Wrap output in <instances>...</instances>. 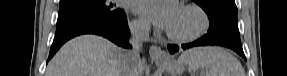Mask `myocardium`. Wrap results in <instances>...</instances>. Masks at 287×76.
Segmentation results:
<instances>
[{
    "label": "myocardium",
    "instance_id": "obj_1",
    "mask_svg": "<svg viewBox=\"0 0 287 76\" xmlns=\"http://www.w3.org/2000/svg\"><path fill=\"white\" fill-rule=\"evenodd\" d=\"M180 9L183 10H190L195 12L199 18H200V24L199 26L191 33L185 34V35H176L169 31L166 32L167 37L178 43H187L194 41L201 37L209 28L210 25V19L207 14V12L198 4L195 3H186L180 6Z\"/></svg>",
    "mask_w": 287,
    "mask_h": 76
}]
</instances>
